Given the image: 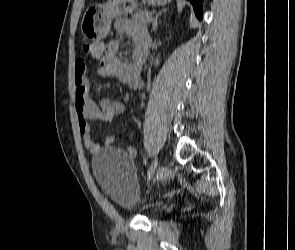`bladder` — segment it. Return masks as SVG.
<instances>
[{
    "instance_id": "bladder-1",
    "label": "bladder",
    "mask_w": 295,
    "mask_h": 250,
    "mask_svg": "<svg viewBox=\"0 0 295 250\" xmlns=\"http://www.w3.org/2000/svg\"><path fill=\"white\" fill-rule=\"evenodd\" d=\"M91 168L97 184L113 202L126 210L145 206L132 159L125 151L111 147L102 149L93 157Z\"/></svg>"
}]
</instances>
